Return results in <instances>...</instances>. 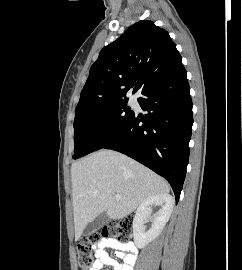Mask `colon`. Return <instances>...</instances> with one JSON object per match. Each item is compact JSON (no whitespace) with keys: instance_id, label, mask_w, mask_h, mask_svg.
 Returning <instances> with one entry per match:
<instances>
[{"instance_id":"1","label":"colon","mask_w":242,"mask_h":270,"mask_svg":"<svg viewBox=\"0 0 242 270\" xmlns=\"http://www.w3.org/2000/svg\"><path fill=\"white\" fill-rule=\"evenodd\" d=\"M132 229V221H111L100 231L91 233L83 238L77 245V263L80 270H91L94 258L92 250L94 245L104 239H128Z\"/></svg>"}]
</instances>
